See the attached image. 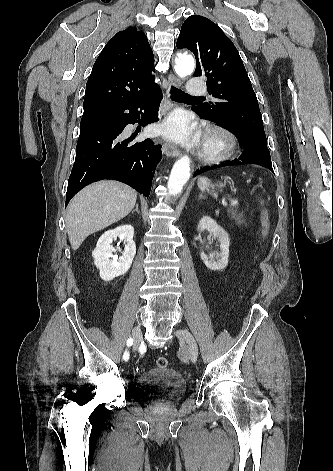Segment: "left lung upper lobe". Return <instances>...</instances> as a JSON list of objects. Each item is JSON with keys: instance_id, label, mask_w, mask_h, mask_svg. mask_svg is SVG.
<instances>
[{"instance_id": "1", "label": "left lung upper lobe", "mask_w": 333, "mask_h": 471, "mask_svg": "<svg viewBox=\"0 0 333 471\" xmlns=\"http://www.w3.org/2000/svg\"><path fill=\"white\" fill-rule=\"evenodd\" d=\"M177 48L194 53V75L207 78L208 92L217 99L192 109L235 133L244 149L267 148L257 97L236 47L224 32L203 16H189L181 27Z\"/></svg>"}]
</instances>
